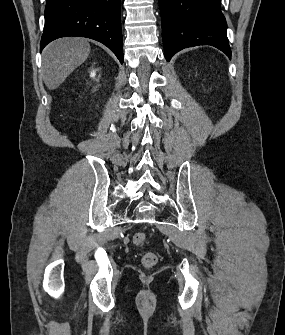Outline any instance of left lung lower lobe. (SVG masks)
Segmentation results:
<instances>
[{"mask_svg": "<svg viewBox=\"0 0 285 335\" xmlns=\"http://www.w3.org/2000/svg\"><path fill=\"white\" fill-rule=\"evenodd\" d=\"M221 0H159L165 58L192 46L211 45L231 58Z\"/></svg>", "mask_w": 285, "mask_h": 335, "instance_id": "obj_1", "label": "left lung lower lobe"}]
</instances>
